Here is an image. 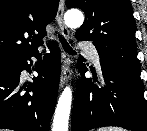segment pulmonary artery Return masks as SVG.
I'll list each match as a JSON object with an SVG mask.
<instances>
[{
	"instance_id": "obj_1",
	"label": "pulmonary artery",
	"mask_w": 147,
	"mask_h": 131,
	"mask_svg": "<svg viewBox=\"0 0 147 131\" xmlns=\"http://www.w3.org/2000/svg\"><path fill=\"white\" fill-rule=\"evenodd\" d=\"M80 47H81L82 50L86 51L90 55V57H91L92 61L94 62L96 68L99 71H101L100 58H99V54H98L96 48L93 45L87 44V43H82L80 45Z\"/></svg>"
}]
</instances>
